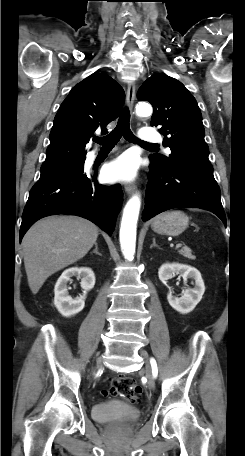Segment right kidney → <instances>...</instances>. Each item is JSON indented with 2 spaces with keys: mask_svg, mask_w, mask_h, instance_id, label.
Segmentation results:
<instances>
[{
  "mask_svg": "<svg viewBox=\"0 0 245 456\" xmlns=\"http://www.w3.org/2000/svg\"><path fill=\"white\" fill-rule=\"evenodd\" d=\"M81 278V287L84 294L80 297L72 298L68 294L67 283L71 277ZM95 285V275L90 268L72 267L66 269L56 282L54 288V305L64 317H71L83 310L85 306L86 292L90 291Z\"/></svg>",
  "mask_w": 245,
  "mask_h": 456,
  "instance_id": "ca27d5eb",
  "label": "right kidney"
}]
</instances>
